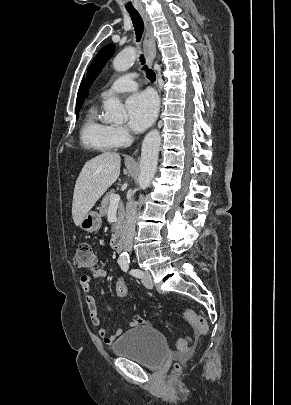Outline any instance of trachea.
Here are the masks:
<instances>
[{"label": "trachea", "instance_id": "obj_1", "mask_svg": "<svg viewBox=\"0 0 291 405\" xmlns=\"http://www.w3.org/2000/svg\"><path fill=\"white\" fill-rule=\"evenodd\" d=\"M129 14H130L131 20L133 22V26L135 28L136 39H137V41H139L141 39V35L143 33V30H144L143 20H142L140 14L137 11H129ZM140 61L142 62V64H145V58H144L143 55L140 56ZM143 69L146 71L147 78L151 82H154L156 80L155 72L153 70L149 69L147 67V65H144Z\"/></svg>", "mask_w": 291, "mask_h": 405}]
</instances>
